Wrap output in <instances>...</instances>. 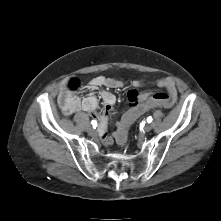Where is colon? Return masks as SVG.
<instances>
[{
  "label": "colon",
  "instance_id": "colon-1",
  "mask_svg": "<svg viewBox=\"0 0 221 221\" xmlns=\"http://www.w3.org/2000/svg\"><path fill=\"white\" fill-rule=\"evenodd\" d=\"M82 87V81L79 78L70 79L66 83V90L69 92H74ZM143 103H138L128 108L124 111L119 119V123L116 126L117 137L115 138V143L117 145H123L128 140V132L130 131V126L134 121L137 120L139 116L148 113L154 108H166L170 105L171 100L164 93H156L153 95H147ZM60 107L65 112L66 101H59Z\"/></svg>",
  "mask_w": 221,
  "mask_h": 221
}]
</instances>
